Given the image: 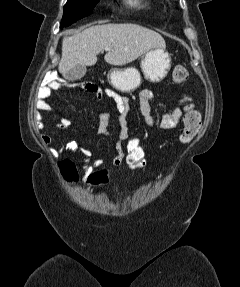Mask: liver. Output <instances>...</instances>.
I'll return each mask as SVG.
<instances>
[{"instance_id": "1", "label": "liver", "mask_w": 240, "mask_h": 287, "mask_svg": "<svg viewBox=\"0 0 240 287\" xmlns=\"http://www.w3.org/2000/svg\"><path fill=\"white\" fill-rule=\"evenodd\" d=\"M165 46V40L159 33L137 24L96 25L63 38L58 70L64 75L78 64L95 65L97 55L105 48L109 50L104 60L121 66L135 61L150 49Z\"/></svg>"}]
</instances>
